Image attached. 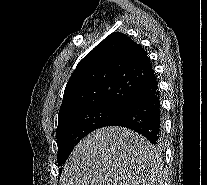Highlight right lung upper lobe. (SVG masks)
<instances>
[{
    "mask_svg": "<svg viewBox=\"0 0 207 185\" xmlns=\"http://www.w3.org/2000/svg\"><path fill=\"white\" fill-rule=\"evenodd\" d=\"M155 79L142 46L114 32L77 64L64 91L58 122L103 104L123 106Z\"/></svg>",
    "mask_w": 207,
    "mask_h": 185,
    "instance_id": "obj_1",
    "label": "right lung upper lobe"
}]
</instances>
